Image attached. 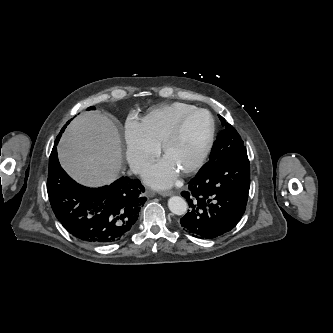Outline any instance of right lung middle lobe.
Segmentation results:
<instances>
[{
	"label": "right lung middle lobe",
	"mask_w": 333,
	"mask_h": 333,
	"mask_svg": "<svg viewBox=\"0 0 333 333\" xmlns=\"http://www.w3.org/2000/svg\"><path fill=\"white\" fill-rule=\"evenodd\" d=\"M91 108H93V107H89L88 110H90Z\"/></svg>",
	"instance_id": "1"
}]
</instances>
